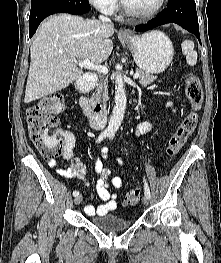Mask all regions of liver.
I'll return each mask as SVG.
<instances>
[{"mask_svg": "<svg viewBox=\"0 0 221 263\" xmlns=\"http://www.w3.org/2000/svg\"><path fill=\"white\" fill-rule=\"evenodd\" d=\"M112 25L69 14L49 17L38 29L30 48L31 62L24 103L62 90L83 71L70 61H105L113 50Z\"/></svg>", "mask_w": 221, "mask_h": 263, "instance_id": "obj_1", "label": "liver"}]
</instances>
